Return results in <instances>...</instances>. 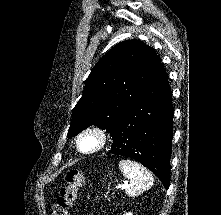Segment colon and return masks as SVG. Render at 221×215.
I'll use <instances>...</instances> for the list:
<instances>
[{
	"mask_svg": "<svg viewBox=\"0 0 221 215\" xmlns=\"http://www.w3.org/2000/svg\"><path fill=\"white\" fill-rule=\"evenodd\" d=\"M83 183V175L77 170H70L66 174L57 203L52 206L51 215H69V209L76 203L78 191Z\"/></svg>",
	"mask_w": 221,
	"mask_h": 215,
	"instance_id": "obj_1",
	"label": "colon"
}]
</instances>
